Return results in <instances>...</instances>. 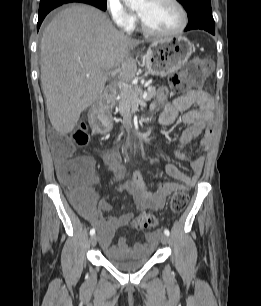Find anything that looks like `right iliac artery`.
Segmentation results:
<instances>
[{"label":"right iliac artery","instance_id":"right-iliac-artery-1","mask_svg":"<svg viewBox=\"0 0 261 306\" xmlns=\"http://www.w3.org/2000/svg\"><path fill=\"white\" fill-rule=\"evenodd\" d=\"M94 234H95V229L92 228V229L90 230V235H94Z\"/></svg>","mask_w":261,"mask_h":306}]
</instances>
